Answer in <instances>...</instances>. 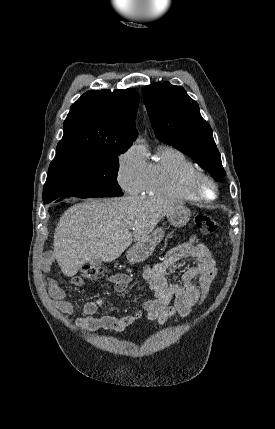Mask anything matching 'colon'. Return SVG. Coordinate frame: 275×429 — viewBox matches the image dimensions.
Listing matches in <instances>:
<instances>
[{
	"instance_id": "obj_1",
	"label": "colon",
	"mask_w": 275,
	"mask_h": 429,
	"mask_svg": "<svg viewBox=\"0 0 275 429\" xmlns=\"http://www.w3.org/2000/svg\"><path fill=\"white\" fill-rule=\"evenodd\" d=\"M197 228L204 234H214L218 230V223L208 214L198 213L195 217ZM83 277L94 280L103 275L104 270L97 265H85L81 269Z\"/></svg>"
}]
</instances>
